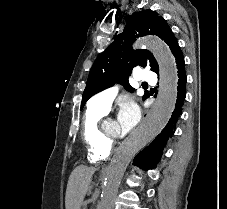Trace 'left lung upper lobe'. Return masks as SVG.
<instances>
[{
    "instance_id": "5c2ea615",
    "label": "left lung upper lobe",
    "mask_w": 227,
    "mask_h": 209,
    "mask_svg": "<svg viewBox=\"0 0 227 209\" xmlns=\"http://www.w3.org/2000/svg\"><path fill=\"white\" fill-rule=\"evenodd\" d=\"M127 22L122 33L114 38L109 47L95 60L83 93L81 110L85 102L94 94L121 83L124 88L133 92L127 76L136 66L151 67L158 74L159 66L153 54L148 50H132L131 45L136 38L145 35H156L164 40L175 56L179 48L171 28L166 20L152 10H143L127 16ZM145 94L143 100L148 98Z\"/></svg>"
}]
</instances>
